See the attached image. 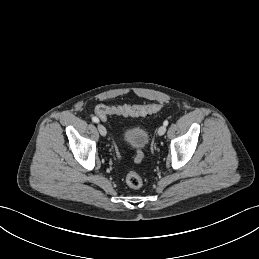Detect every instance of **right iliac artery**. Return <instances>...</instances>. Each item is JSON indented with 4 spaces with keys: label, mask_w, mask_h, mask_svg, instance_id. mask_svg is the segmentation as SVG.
<instances>
[{
    "label": "right iliac artery",
    "mask_w": 259,
    "mask_h": 259,
    "mask_svg": "<svg viewBox=\"0 0 259 259\" xmlns=\"http://www.w3.org/2000/svg\"><path fill=\"white\" fill-rule=\"evenodd\" d=\"M92 121L95 122V123H98L99 122V119L97 117H92Z\"/></svg>",
    "instance_id": "1"
}]
</instances>
